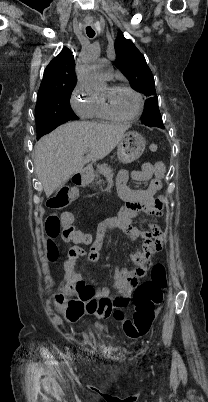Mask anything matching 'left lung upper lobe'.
Wrapping results in <instances>:
<instances>
[{
    "instance_id": "obj_1",
    "label": "left lung upper lobe",
    "mask_w": 208,
    "mask_h": 402,
    "mask_svg": "<svg viewBox=\"0 0 208 402\" xmlns=\"http://www.w3.org/2000/svg\"><path fill=\"white\" fill-rule=\"evenodd\" d=\"M117 67L124 73L132 87L148 99L141 121L149 127L164 128L158 107L154 77L142 53L119 30L115 41Z\"/></svg>"
}]
</instances>
